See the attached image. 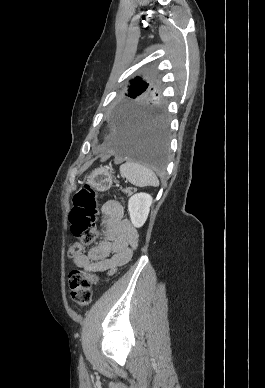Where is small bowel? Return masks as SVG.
Returning <instances> with one entry per match:
<instances>
[{
	"instance_id": "obj_1",
	"label": "small bowel",
	"mask_w": 265,
	"mask_h": 388,
	"mask_svg": "<svg viewBox=\"0 0 265 388\" xmlns=\"http://www.w3.org/2000/svg\"><path fill=\"white\" fill-rule=\"evenodd\" d=\"M123 213L118 201L109 200L103 204L104 240L87 254L73 258L76 267L112 275L131 259L138 244V232L128 219L123 218Z\"/></svg>"
}]
</instances>
